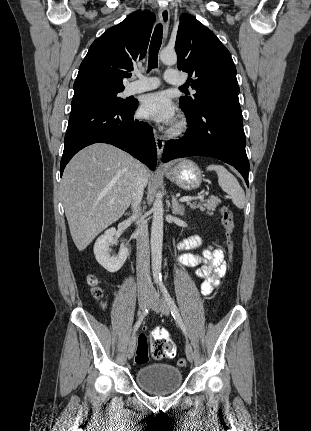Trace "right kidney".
Masks as SVG:
<instances>
[{"label": "right kidney", "instance_id": "1", "mask_svg": "<svg viewBox=\"0 0 311 431\" xmlns=\"http://www.w3.org/2000/svg\"><path fill=\"white\" fill-rule=\"evenodd\" d=\"M115 233V227L106 229L103 235H99L94 245V253L98 263L103 265L107 271H112V273L113 271H118V269L122 267L129 253L128 247H121L119 253H116V255H110L109 245H112V243H117V239L113 237Z\"/></svg>", "mask_w": 311, "mask_h": 431}]
</instances>
